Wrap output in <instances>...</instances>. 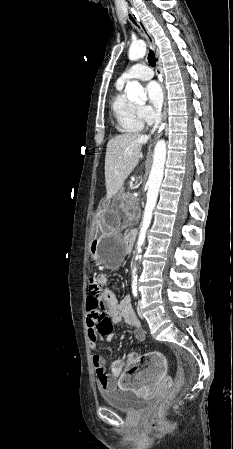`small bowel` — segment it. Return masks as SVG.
<instances>
[{
	"label": "small bowel",
	"mask_w": 233,
	"mask_h": 449,
	"mask_svg": "<svg viewBox=\"0 0 233 449\" xmlns=\"http://www.w3.org/2000/svg\"><path fill=\"white\" fill-rule=\"evenodd\" d=\"M110 283L108 274H91L88 281V289L91 295L88 297H95L96 301H99V306L105 308L112 323L125 322L132 326L137 342H142L145 338V332L133 311L130 296L124 295L118 300L109 289ZM100 335L95 333V328H88L89 346L93 351L92 362L101 390L111 389L116 382L121 385L124 380H129L131 389L134 390V399H155L157 394L162 393V386L159 384H161V377L166 375L165 354H150V363L147 368L140 369V375L127 374L124 362L134 358L133 354H128L121 361L114 363L112 374H108L106 372V360L97 352ZM113 338H104V340L110 342Z\"/></svg>",
	"instance_id": "c3829d8e"
}]
</instances>
